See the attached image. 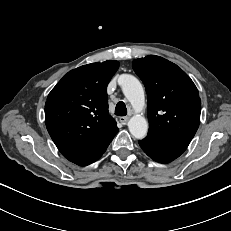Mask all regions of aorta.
Returning a JSON list of instances; mask_svg holds the SVG:
<instances>
[{"label": "aorta", "mask_w": 231, "mask_h": 231, "mask_svg": "<svg viewBox=\"0 0 231 231\" xmlns=\"http://www.w3.org/2000/svg\"><path fill=\"white\" fill-rule=\"evenodd\" d=\"M119 83L125 97L135 111V114L128 121L129 131L133 137L143 139L148 131V123L145 117L140 114L145 105L143 87L136 77L129 74L121 75Z\"/></svg>", "instance_id": "762f6f07"}]
</instances>
